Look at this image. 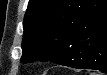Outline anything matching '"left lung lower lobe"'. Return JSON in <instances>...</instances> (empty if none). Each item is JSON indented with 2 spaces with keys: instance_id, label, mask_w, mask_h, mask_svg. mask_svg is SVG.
<instances>
[{
  "instance_id": "0a47b994",
  "label": "left lung lower lobe",
  "mask_w": 107,
  "mask_h": 75,
  "mask_svg": "<svg viewBox=\"0 0 107 75\" xmlns=\"http://www.w3.org/2000/svg\"><path fill=\"white\" fill-rule=\"evenodd\" d=\"M94 1L96 6L79 20L69 47L50 51L53 62L107 73V0Z\"/></svg>"
}]
</instances>
